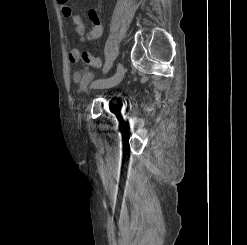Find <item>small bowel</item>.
Here are the masks:
<instances>
[{
  "instance_id": "obj_1",
  "label": "small bowel",
  "mask_w": 247,
  "mask_h": 245,
  "mask_svg": "<svg viewBox=\"0 0 247 245\" xmlns=\"http://www.w3.org/2000/svg\"><path fill=\"white\" fill-rule=\"evenodd\" d=\"M68 0H57L58 5L61 8V12L66 18L72 16V9L67 5ZM89 19L93 24L92 30L86 36L88 39H96L102 34V24L97 12L94 9L88 11ZM69 60L74 64L89 65L93 67L101 66V59L97 56H93L89 52L82 51L78 48H74L69 52Z\"/></svg>"
}]
</instances>
